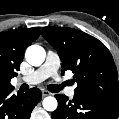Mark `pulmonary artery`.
<instances>
[{"label": "pulmonary artery", "mask_w": 119, "mask_h": 119, "mask_svg": "<svg viewBox=\"0 0 119 119\" xmlns=\"http://www.w3.org/2000/svg\"><path fill=\"white\" fill-rule=\"evenodd\" d=\"M60 65V58L58 54L54 51L49 50L46 55L45 62L32 73L22 77L19 81L33 85L40 83L47 79L48 77H55V79L60 80V76L57 75V71ZM67 94L70 97L74 96V88H68Z\"/></svg>", "instance_id": "1"}]
</instances>
